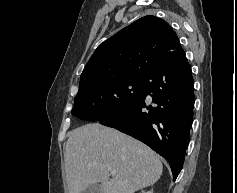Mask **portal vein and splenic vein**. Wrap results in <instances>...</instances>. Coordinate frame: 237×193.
Listing matches in <instances>:
<instances>
[{"mask_svg": "<svg viewBox=\"0 0 237 193\" xmlns=\"http://www.w3.org/2000/svg\"><path fill=\"white\" fill-rule=\"evenodd\" d=\"M108 170L110 171V173H111L112 175H116V171L113 170L112 168H108Z\"/></svg>", "mask_w": 237, "mask_h": 193, "instance_id": "portal-vein-and-splenic-vein-1", "label": "portal vein and splenic vein"}]
</instances>
